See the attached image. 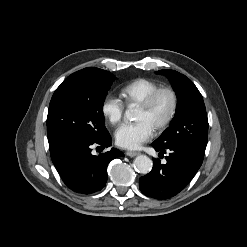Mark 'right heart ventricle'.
Listing matches in <instances>:
<instances>
[{
    "label": "right heart ventricle",
    "mask_w": 247,
    "mask_h": 247,
    "mask_svg": "<svg viewBox=\"0 0 247 247\" xmlns=\"http://www.w3.org/2000/svg\"><path fill=\"white\" fill-rule=\"evenodd\" d=\"M159 87V83L154 80L137 78L123 86L120 94L127 105H139L151 92Z\"/></svg>",
    "instance_id": "obj_1"
}]
</instances>
